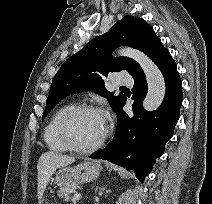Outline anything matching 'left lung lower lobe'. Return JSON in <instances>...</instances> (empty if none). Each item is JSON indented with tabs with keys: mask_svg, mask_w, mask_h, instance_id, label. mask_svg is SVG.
<instances>
[{
	"mask_svg": "<svg viewBox=\"0 0 212 204\" xmlns=\"http://www.w3.org/2000/svg\"><path fill=\"white\" fill-rule=\"evenodd\" d=\"M153 62L161 70L166 84L165 97L160 107L152 112L143 109L142 102L148 86L144 72L140 71L133 76V115L129 116L123 111L125 98L116 110V135L104 150L90 156L133 170L141 182L150 173L156 158L163 154L166 142L172 137L183 98L181 79L169 51L166 48L160 51Z\"/></svg>",
	"mask_w": 212,
	"mask_h": 204,
	"instance_id": "left-lung-lower-lobe-1",
	"label": "left lung lower lobe"
}]
</instances>
